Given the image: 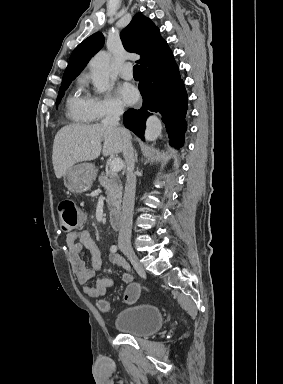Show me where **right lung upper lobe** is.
<instances>
[{
	"label": "right lung upper lobe",
	"mask_w": 283,
	"mask_h": 384,
	"mask_svg": "<svg viewBox=\"0 0 283 384\" xmlns=\"http://www.w3.org/2000/svg\"><path fill=\"white\" fill-rule=\"evenodd\" d=\"M120 37L127 51L141 56L138 61L141 75L163 70L174 62L173 54L167 42L160 36L159 29L141 13L133 17ZM103 44L104 36L100 32L94 33L80 43L71 54L62 83L74 80Z\"/></svg>",
	"instance_id": "cb5924a9"
}]
</instances>
